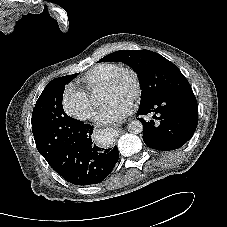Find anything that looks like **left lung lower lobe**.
I'll return each mask as SVG.
<instances>
[{"instance_id": "left-lung-lower-lobe-1", "label": "left lung lower lobe", "mask_w": 227, "mask_h": 227, "mask_svg": "<svg viewBox=\"0 0 227 227\" xmlns=\"http://www.w3.org/2000/svg\"><path fill=\"white\" fill-rule=\"evenodd\" d=\"M138 114H153L158 120L147 122L140 118L145 144L163 151L182 147L193 136L198 123V106L193 91L176 93L139 106Z\"/></svg>"}]
</instances>
